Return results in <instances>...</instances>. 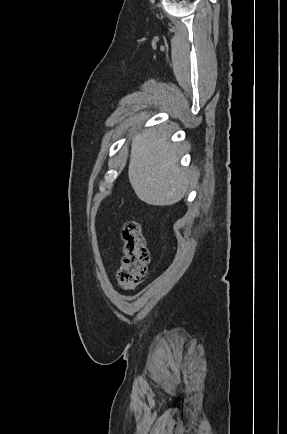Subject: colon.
<instances>
[{
  "label": "colon",
  "instance_id": "1",
  "mask_svg": "<svg viewBox=\"0 0 287 434\" xmlns=\"http://www.w3.org/2000/svg\"><path fill=\"white\" fill-rule=\"evenodd\" d=\"M121 238L122 261L117 278L123 289L130 290L136 287L147 274L150 253L146 237L138 221H127L122 227Z\"/></svg>",
  "mask_w": 287,
  "mask_h": 434
}]
</instances>
